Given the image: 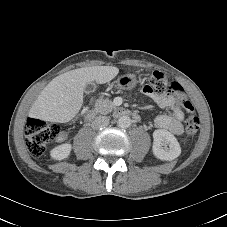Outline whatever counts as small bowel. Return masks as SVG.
<instances>
[{
  "mask_svg": "<svg viewBox=\"0 0 227 227\" xmlns=\"http://www.w3.org/2000/svg\"><path fill=\"white\" fill-rule=\"evenodd\" d=\"M141 93L147 96L163 109L171 110V115L160 114L154 120V125L157 128L165 129L175 135H180L183 131L182 122L184 119V113L178 105L172 92L169 89H164L159 96V89L152 87L150 83H143L141 85ZM64 136H60L59 140H62Z\"/></svg>",
  "mask_w": 227,
  "mask_h": 227,
  "instance_id": "1",
  "label": "small bowel"
}]
</instances>
